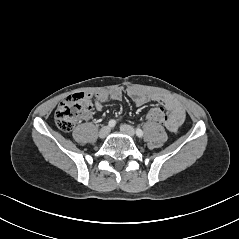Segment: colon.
<instances>
[{
  "mask_svg": "<svg viewBox=\"0 0 239 239\" xmlns=\"http://www.w3.org/2000/svg\"><path fill=\"white\" fill-rule=\"evenodd\" d=\"M93 107L89 95L75 93L64 98L55 112V122L59 129L69 132L76 122L83 116L91 112ZM146 119L150 123H164L166 120L165 111L155 107L147 111Z\"/></svg>",
  "mask_w": 239,
  "mask_h": 239,
  "instance_id": "1",
  "label": "colon"
}]
</instances>
